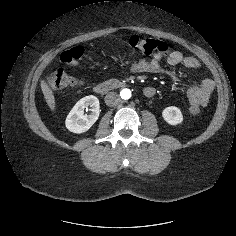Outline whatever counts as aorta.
Returning a JSON list of instances; mask_svg holds the SVG:
<instances>
[{"label": "aorta", "mask_w": 236, "mask_h": 236, "mask_svg": "<svg viewBox=\"0 0 236 236\" xmlns=\"http://www.w3.org/2000/svg\"><path fill=\"white\" fill-rule=\"evenodd\" d=\"M120 97L124 100H128L131 97L130 89L124 88L120 91Z\"/></svg>", "instance_id": "762f6f07"}]
</instances>
